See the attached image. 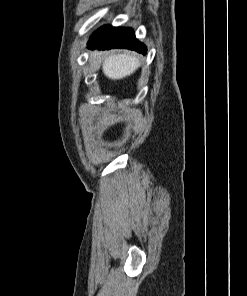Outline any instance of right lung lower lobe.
Returning <instances> with one entry per match:
<instances>
[{
	"label": "right lung lower lobe",
	"instance_id": "obj_1",
	"mask_svg": "<svg viewBox=\"0 0 247 296\" xmlns=\"http://www.w3.org/2000/svg\"><path fill=\"white\" fill-rule=\"evenodd\" d=\"M88 48L112 49L126 48L146 53V46L140 43L130 28H116L105 25L95 32L88 42Z\"/></svg>",
	"mask_w": 247,
	"mask_h": 296
}]
</instances>
